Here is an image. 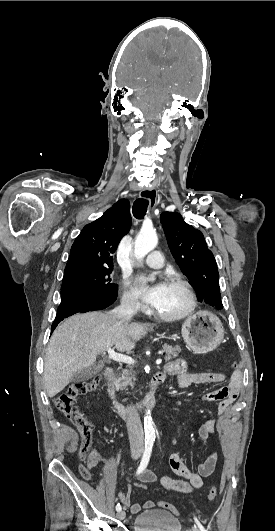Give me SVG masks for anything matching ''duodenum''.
Segmentation results:
<instances>
[{"label":"duodenum","instance_id":"1","mask_svg":"<svg viewBox=\"0 0 275 531\" xmlns=\"http://www.w3.org/2000/svg\"><path fill=\"white\" fill-rule=\"evenodd\" d=\"M114 374L115 368L112 366H107L103 369L101 375L106 386L108 398L111 401L112 408L117 415L126 418L131 415L142 414L157 404L156 393L166 378L165 373H156L151 380V392L144 399L133 404H125L117 401L112 383Z\"/></svg>","mask_w":275,"mask_h":531}]
</instances>
